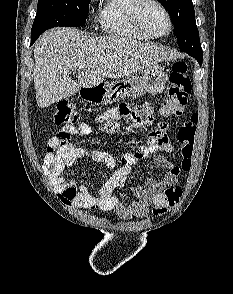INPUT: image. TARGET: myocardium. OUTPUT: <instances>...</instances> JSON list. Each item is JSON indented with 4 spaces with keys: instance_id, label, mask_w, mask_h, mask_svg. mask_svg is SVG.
Wrapping results in <instances>:
<instances>
[{
    "instance_id": "myocardium-1",
    "label": "myocardium",
    "mask_w": 233,
    "mask_h": 294,
    "mask_svg": "<svg viewBox=\"0 0 233 294\" xmlns=\"http://www.w3.org/2000/svg\"><path fill=\"white\" fill-rule=\"evenodd\" d=\"M147 5H155L160 8L165 14L168 21V30L161 35H154L150 33L143 24L142 14L143 10ZM132 19L136 28L149 39H161L168 36L173 30V19L170 11L167 7L159 0H137L136 4L133 7Z\"/></svg>"
}]
</instances>
